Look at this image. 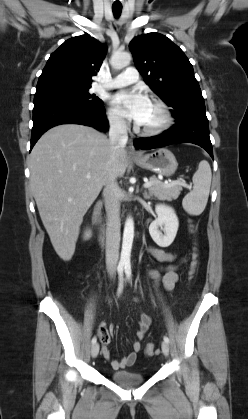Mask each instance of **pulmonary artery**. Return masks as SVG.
<instances>
[{
  "label": "pulmonary artery",
  "instance_id": "obj_1",
  "mask_svg": "<svg viewBox=\"0 0 248 419\" xmlns=\"http://www.w3.org/2000/svg\"><path fill=\"white\" fill-rule=\"evenodd\" d=\"M139 79L138 71L134 67H128L124 72L118 74L107 84L109 88H120L137 82Z\"/></svg>",
  "mask_w": 248,
  "mask_h": 419
}]
</instances>
